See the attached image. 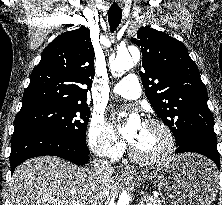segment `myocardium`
Listing matches in <instances>:
<instances>
[{
	"label": "myocardium",
	"mask_w": 222,
	"mask_h": 205,
	"mask_svg": "<svg viewBox=\"0 0 222 205\" xmlns=\"http://www.w3.org/2000/svg\"><path fill=\"white\" fill-rule=\"evenodd\" d=\"M145 123L155 125L163 131V133L166 137L165 148L159 154H156V155L150 156V157H144V156L139 155L136 152V150L133 148V146H130L129 156L135 162H137L139 164H143V165H153V164L161 163V162L165 161L166 159H168L174 151V147H175L174 134H173L171 128L164 121H162L160 119L148 118L145 120Z\"/></svg>",
	"instance_id": "f54148a6"
}]
</instances>
